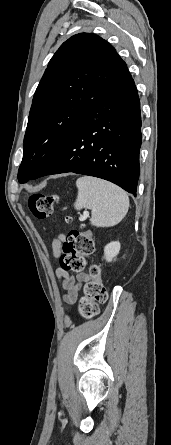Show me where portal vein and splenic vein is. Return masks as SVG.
Returning <instances> with one entry per match:
<instances>
[{"label":"portal vein and splenic vein","mask_w":171,"mask_h":445,"mask_svg":"<svg viewBox=\"0 0 171 445\" xmlns=\"http://www.w3.org/2000/svg\"><path fill=\"white\" fill-rule=\"evenodd\" d=\"M84 214L87 216V215H88V212H85Z\"/></svg>","instance_id":"18ae733b"}]
</instances>
